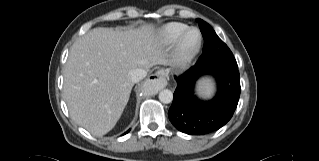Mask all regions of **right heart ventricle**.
Wrapping results in <instances>:
<instances>
[{
    "mask_svg": "<svg viewBox=\"0 0 319 161\" xmlns=\"http://www.w3.org/2000/svg\"><path fill=\"white\" fill-rule=\"evenodd\" d=\"M188 28L181 22H169L162 25L156 32V38L165 46L172 45L178 36Z\"/></svg>",
    "mask_w": 319,
    "mask_h": 161,
    "instance_id": "e07e8e85",
    "label": "right heart ventricle"
}]
</instances>
